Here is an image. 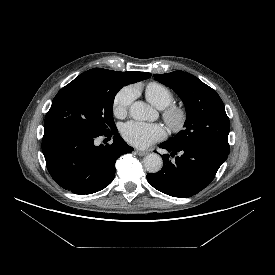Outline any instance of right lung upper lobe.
<instances>
[{"label":"right lung upper lobe","instance_id":"1","mask_svg":"<svg viewBox=\"0 0 275 275\" xmlns=\"http://www.w3.org/2000/svg\"><path fill=\"white\" fill-rule=\"evenodd\" d=\"M150 76L151 74L147 72H136V71L118 72V71H112V70H107L102 68H95L80 74L76 78V80L112 78L124 86V85H128L131 83H135V82H139L141 80L147 79Z\"/></svg>","mask_w":275,"mask_h":275}]
</instances>
